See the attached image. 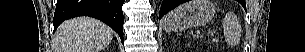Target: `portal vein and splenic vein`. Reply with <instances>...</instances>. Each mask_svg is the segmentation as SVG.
Masks as SVG:
<instances>
[{
	"instance_id": "18ae733b",
	"label": "portal vein and splenic vein",
	"mask_w": 305,
	"mask_h": 52,
	"mask_svg": "<svg viewBox=\"0 0 305 52\" xmlns=\"http://www.w3.org/2000/svg\"><path fill=\"white\" fill-rule=\"evenodd\" d=\"M210 34H211V35H214V34H215V31H214V30L210 31Z\"/></svg>"
}]
</instances>
